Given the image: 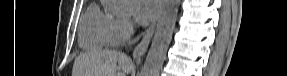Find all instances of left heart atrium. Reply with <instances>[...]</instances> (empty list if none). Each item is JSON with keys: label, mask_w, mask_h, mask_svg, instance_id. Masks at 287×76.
<instances>
[{"label": "left heart atrium", "mask_w": 287, "mask_h": 76, "mask_svg": "<svg viewBox=\"0 0 287 76\" xmlns=\"http://www.w3.org/2000/svg\"><path fill=\"white\" fill-rule=\"evenodd\" d=\"M131 6L134 18L140 24L151 21L158 10L155 0H132Z\"/></svg>", "instance_id": "39dd6f15"}]
</instances>
